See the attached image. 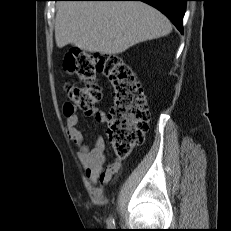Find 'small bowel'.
<instances>
[{"label":"small bowel","instance_id":"1","mask_svg":"<svg viewBox=\"0 0 231 231\" xmlns=\"http://www.w3.org/2000/svg\"><path fill=\"white\" fill-rule=\"evenodd\" d=\"M65 115L67 134L78 146L79 150L77 152V157L85 168L88 179L93 184H96L98 180L103 184H107L113 175L119 170L120 161L115 159L111 164L104 167L106 160L104 139L101 136H98L93 146L87 145L82 131L78 128L79 116L75 110H71L69 106H65ZM88 115L94 116V118L101 123L107 121L104 112L99 110H91L88 112Z\"/></svg>","mask_w":231,"mask_h":231}]
</instances>
